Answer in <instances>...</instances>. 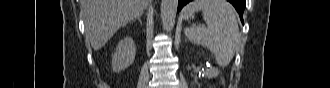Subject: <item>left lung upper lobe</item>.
<instances>
[{"label":"left lung upper lobe","instance_id":"left-lung-upper-lobe-1","mask_svg":"<svg viewBox=\"0 0 330 88\" xmlns=\"http://www.w3.org/2000/svg\"><path fill=\"white\" fill-rule=\"evenodd\" d=\"M245 6H246V3H245V0H244L243 3H242V7L245 9Z\"/></svg>","mask_w":330,"mask_h":88}]
</instances>
